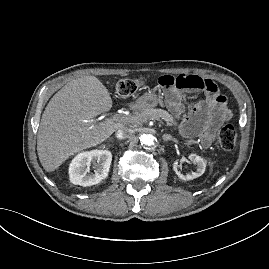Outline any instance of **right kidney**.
I'll return each mask as SVG.
<instances>
[{
  "label": "right kidney",
  "instance_id": "ca27d5eb",
  "mask_svg": "<svg viewBox=\"0 0 269 269\" xmlns=\"http://www.w3.org/2000/svg\"><path fill=\"white\" fill-rule=\"evenodd\" d=\"M112 154L107 150H92L79 153L69 166L70 181L81 186L98 184L108 176ZM94 173L90 172V167Z\"/></svg>",
  "mask_w": 269,
  "mask_h": 269
}]
</instances>
